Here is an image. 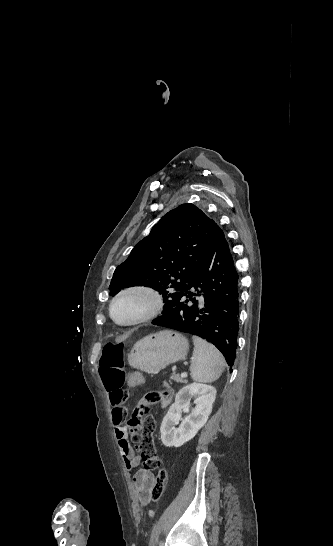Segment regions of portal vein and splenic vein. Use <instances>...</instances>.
<instances>
[{
  "label": "portal vein and splenic vein",
  "mask_w": 333,
  "mask_h": 546,
  "mask_svg": "<svg viewBox=\"0 0 333 546\" xmlns=\"http://www.w3.org/2000/svg\"><path fill=\"white\" fill-rule=\"evenodd\" d=\"M187 374L184 372L181 374L182 377H185Z\"/></svg>",
  "instance_id": "obj_1"
}]
</instances>
